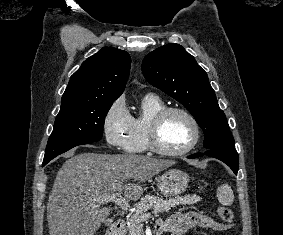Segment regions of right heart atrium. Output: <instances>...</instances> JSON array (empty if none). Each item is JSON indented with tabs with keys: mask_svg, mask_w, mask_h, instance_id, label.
<instances>
[{
	"mask_svg": "<svg viewBox=\"0 0 283 235\" xmlns=\"http://www.w3.org/2000/svg\"><path fill=\"white\" fill-rule=\"evenodd\" d=\"M129 124L130 114L124 98L120 97L111 104L103 120V131L107 143L115 148H123Z\"/></svg>",
	"mask_w": 283,
	"mask_h": 235,
	"instance_id": "1",
	"label": "right heart atrium"
}]
</instances>
